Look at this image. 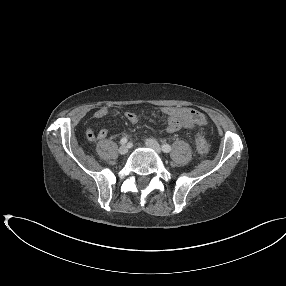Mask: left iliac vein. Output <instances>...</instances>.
<instances>
[{"mask_svg":"<svg viewBox=\"0 0 286 286\" xmlns=\"http://www.w3.org/2000/svg\"><path fill=\"white\" fill-rule=\"evenodd\" d=\"M146 146L155 150L157 153H161V147L158 142L154 139H147Z\"/></svg>","mask_w":286,"mask_h":286,"instance_id":"left-iliac-vein-1","label":"left iliac vein"}]
</instances>
